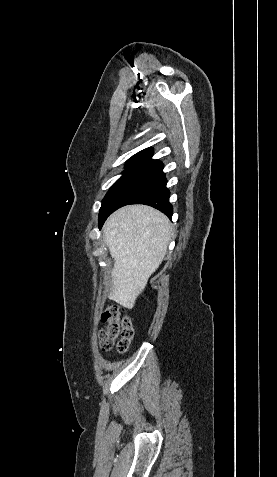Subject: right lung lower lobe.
Segmentation results:
<instances>
[{
  "label": "right lung lower lobe",
  "instance_id": "1",
  "mask_svg": "<svg viewBox=\"0 0 277 477\" xmlns=\"http://www.w3.org/2000/svg\"><path fill=\"white\" fill-rule=\"evenodd\" d=\"M165 174L161 170L158 177L140 194H138L129 204H145L152 206L169 218L172 217L173 207L169 202L170 192L166 187Z\"/></svg>",
  "mask_w": 277,
  "mask_h": 477
}]
</instances>
